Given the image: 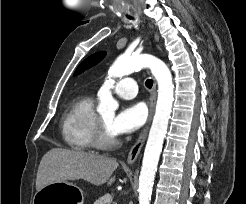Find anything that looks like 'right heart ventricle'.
I'll use <instances>...</instances> for the list:
<instances>
[{"label": "right heart ventricle", "mask_w": 246, "mask_h": 204, "mask_svg": "<svg viewBox=\"0 0 246 204\" xmlns=\"http://www.w3.org/2000/svg\"><path fill=\"white\" fill-rule=\"evenodd\" d=\"M96 119L93 100L89 96L75 98L62 119V136L65 143L79 151L94 148Z\"/></svg>", "instance_id": "1"}]
</instances>
